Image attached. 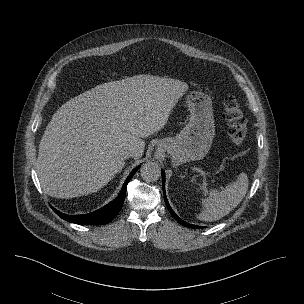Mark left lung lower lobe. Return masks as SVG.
<instances>
[{
	"label": "left lung lower lobe",
	"instance_id": "0a47b994",
	"mask_svg": "<svg viewBox=\"0 0 304 304\" xmlns=\"http://www.w3.org/2000/svg\"><path fill=\"white\" fill-rule=\"evenodd\" d=\"M162 186H163V191H164V199H165V203L166 206L169 210V212L171 213V215L180 222V224H182L183 226L189 227V228H202L201 226H197V225H192V224H188L185 221L181 220L176 214L175 212L172 210V208L170 207L168 200L166 198V194H165V173L164 171H162Z\"/></svg>",
	"mask_w": 304,
	"mask_h": 304
}]
</instances>
